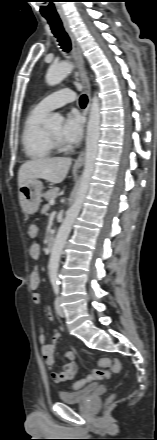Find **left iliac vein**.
<instances>
[{"instance_id":"obj_1","label":"left iliac vein","mask_w":157,"mask_h":440,"mask_svg":"<svg viewBox=\"0 0 157 440\" xmlns=\"http://www.w3.org/2000/svg\"><path fill=\"white\" fill-rule=\"evenodd\" d=\"M55 309H56L57 314H58L60 317H64V316H65L64 309H63V307L61 306V297H60V296H58V297L56 298V300H55Z\"/></svg>"}]
</instances>
